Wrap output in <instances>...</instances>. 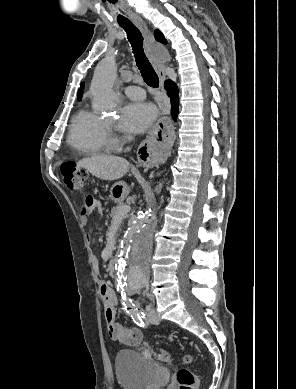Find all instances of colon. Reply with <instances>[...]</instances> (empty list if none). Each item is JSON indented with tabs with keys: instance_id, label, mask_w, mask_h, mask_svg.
<instances>
[{
	"instance_id": "5ec220e1",
	"label": "colon",
	"mask_w": 296,
	"mask_h": 389,
	"mask_svg": "<svg viewBox=\"0 0 296 389\" xmlns=\"http://www.w3.org/2000/svg\"><path fill=\"white\" fill-rule=\"evenodd\" d=\"M61 172L64 178L65 185L71 190H81L86 181V173L79 168L74 162H66L61 166ZM145 355L150 356L152 353L148 350L144 351ZM158 359L168 362L170 354L162 349L157 353ZM184 364H192L195 359L190 354L183 355ZM177 382L179 389H196L198 378L195 372L188 368H180L177 372Z\"/></svg>"
}]
</instances>
